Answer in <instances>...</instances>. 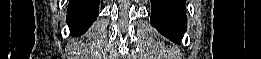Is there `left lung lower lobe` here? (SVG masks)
I'll use <instances>...</instances> for the list:
<instances>
[{"label":"left lung lower lobe","instance_id":"1","mask_svg":"<svg viewBox=\"0 0 261 59\" xmlns=\"http://www.w3.org/2000/svg\"><path fill=\"white\" fill-rule=\"evenodd\" d=\"M151 24L166 38L180 43L186 30L185 0H151Z\"/></svg>","mask_w":261,"mask_h":59}]
</instances>
